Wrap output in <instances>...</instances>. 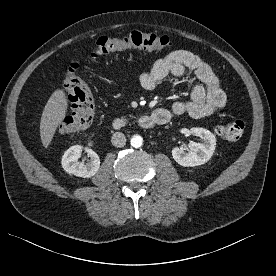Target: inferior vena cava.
Listing matches in <instances>:
<instances>
[{
  "mask_svg": "<svg viewBox=\"0 0 276 276\" xmlns=\"http://www.w3.org/2000/svg\"><path fill=\"white\" fill-rule=\"evenodd\" d=\"M111 143L115 147H124L126 144V137L122 132H115L111 137Z\"/></svg>",
  "mask_w": 276,
  "mask_h": 276,
  "instance_id": "obj_1",
  "label": "inferior vena cava"
}]
</instances>
